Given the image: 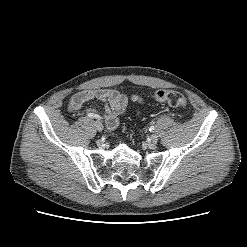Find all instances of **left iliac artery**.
<instances>
[{"label": "left iliac artery", "mask_w": 247, "mask_h": 247, "mask_svg": "<svg viewBox=\"0 0 247 247\" xmlns=\"http://www.w3.org/2000/svg\"><path fill=\"white\" fill-rule=\"evenodd\" d=\"M149 130H150V131H154V130H155V127H154V126H151V127L149 128Z\"/></svg>", "instance_id": "44dca946"}]
</instances>
